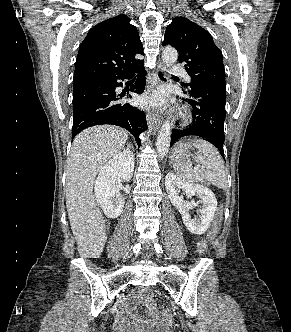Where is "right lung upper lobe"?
I'll return each mask as SVG.
<instances>
[{"mask_svg":"<svg viewBox=\"0 0 291 332\" xmlns=\"http://www.w3.org/2000/svg\"><path fill=\"white\" fill-rule=\"evenodd\" d=\"M144 55L139 33L123 14L94 26L79 47L73 83L97 76H117L136 68Z\"/></svg>","mask_w":291,"mask_h":332,"instance_id":"obj_1","label":"right lung upper lobe"}]
</instances>
